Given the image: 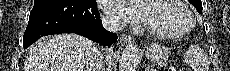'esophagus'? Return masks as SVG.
<instances>
[{
  "label": "esophagus",
  "mask_w": 230,
  "mask_h": 71,
  "mask_svg": "<svg viewBox=\"0 0 230 71\" xmlns=\"http://www.w3.org/2000/svg\"><path fill=\"white\" fill-rule=\"evenodd\" d=\"M121 41L126 44H131L133 42V37L130 34H123L121 36Z\"/></svg>",
  "instance_id": "1"
}]
</instances>
